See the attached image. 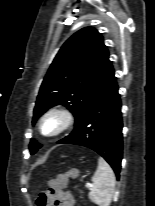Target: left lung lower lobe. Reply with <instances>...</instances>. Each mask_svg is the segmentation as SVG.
<instances>
[{
    "instance_id": "1",
    "label": "left lung lower lobe",
    "mask_w": 155,
    "mask_h": 206,
    "mask_svg": "<svg viewBox=\"0 0 155 206\" xmlns=\"http://www.w3.org/2000/svg\"><path fill=\"white\" fill-rule=\"evenodd\" d=\"M122 116L114 77L91 102L70 135L58 141L88 147L99 153L119 178L122 160Z\"/></svg>"
}]
</instances>
